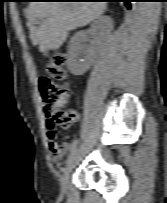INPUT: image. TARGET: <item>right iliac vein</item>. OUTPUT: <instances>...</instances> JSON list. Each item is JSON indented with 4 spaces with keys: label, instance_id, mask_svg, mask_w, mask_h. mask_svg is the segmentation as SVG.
<instances>
[{
    "label": "right iliac vein",
    "instance_id": "obj_1",
    "mask_svg": "<svg viewBox=\"0 0 167 203\" xmlns=\"http://www.w3.org/2000/svg\"><path fill=\"white\" fill-rule=\"evenodd\" d=\"M77 155H78V152L76 151L69 158L67 165H66V168L64 169V172L61 176V190H62L63 194H65L67 192L70 175H71V172L73 171V169L75 167Z\"/></svg>",
    "mask_w": 167,
    "mask_h": 203
}]
</instances>
